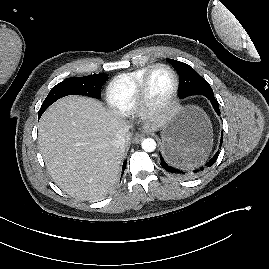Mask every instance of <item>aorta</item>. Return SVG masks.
I'll return each mask as SVG.
<instances>
[{
  "mask_svg": "<svg viewBox=\"0 0 269 269\" xmlns=\"http://www.w3.org/2000/svg\"><path fill=\"white\" fill-rule=\"evenodd\" d=\"M141 146L145 152H153L156 149V142L152 138H146L142 141Z\"/></svg>",
  "mask_w": 269,
  "mask_h": 269,
  "instance_id": "aorta-1",
  "label": "aorta"
}]
</instances>
